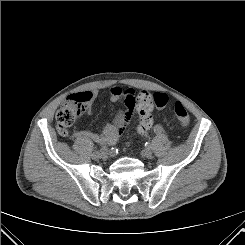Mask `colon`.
Segmentation results:
<instances>
[{
	"label": "colon",
	"instance_id": "1",
	"mask_svg": "<svg viewBox=\"0 0 245 245\" xmlns=\"http://www.w3.org/2000/svg\"><path fill=\"white\" fill-rule=\"evenodd\" d=\"M156 93H149L147 91H140L136 94V108L139 114V124L137 132L139 136L146 137L150 128L153 125V107L155 103L153 96ZM163 94V93H161ZM166 106L168 104V97L163 94ZM92 94L90 92L80 93L69 96L59 111L56 114V124L60 135L66 136L68 128L72 126L80 115L85 111L88 102L91 100ZM174 113L177 122L186 127L189 124V114L186 108L177 102L174 106Z\"/></svg>",
	"mask_w": 245,
	"mask_h": 245
}]
</instances>
